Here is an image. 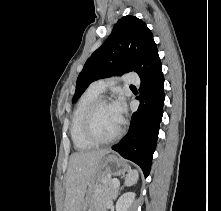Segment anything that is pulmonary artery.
Returning a JSON list of instances; mask_svg holds the SVG:
<instances>
[{
  "label": "pulmonary artery",
  "mask_w": 221,
  "mask_h": 211,
  "mask_svg": "<svg viewBox=\"0 0 221 211\" xmlns=\"http://www.w3.org/2000/svg\"><path fill=\"white\" fill-rule=\"evenodd\" d=\"M122 81L127 84L137 85L140 82L139 77L135 73H126L122 76ZM116 83V80L113 78L109 79H100L95 81L91 87L96 91L102 93L107 87L112 86Z\"/></svg>",
  "instance_id": "pulmonary-artery-1"
}]
</instances>
